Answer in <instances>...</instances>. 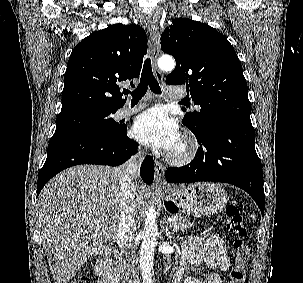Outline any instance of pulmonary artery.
Returning a JSON list of instances; mask_svg holds the SVG:
<instances>
[{"label": "pulmonary artery", "instance_id": "obj_1", "mask_svg": "<svg viewBox=\"0 0 303 283\" xmlns=\"http://www.w3.org/2000/svg\"><path fill=\"white\" fill-rule=\"evenodd\" d=\"M184 94H185L184 90L180 87L177 86L166 87V97L169 99L182 98ZM145 106H146V102H142V101L133 106L127 104L119 110L118 114L120 117H126L134 114L135 112H137L138 110L142 109Z\"/></svg>", "mask_w": 303, "mask_h": 283}]
</instances>
